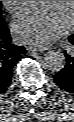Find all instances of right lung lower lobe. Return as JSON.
<instances>
[{
  "instance_id": "1",
  "label": "right lung lower lobe",
  "mask_w": 74,
  "mask_h": 122,
  "mask_svg": "<svg viewBox=\"0 0 74 122\" xmlns=\"http://www.w3.org/2000/svg\"><path fill=\"white\" fill-rule=\"evenodd\" d=\"M25 52L27 51L23 46L11 43L9 30L5 25L4 31L0 33V94L8 89L13 67Z\"/></svg>"
}]
</instances>
